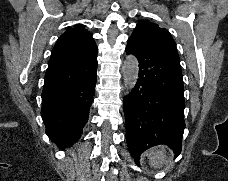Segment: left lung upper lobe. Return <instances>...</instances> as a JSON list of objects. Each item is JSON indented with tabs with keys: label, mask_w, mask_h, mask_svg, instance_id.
I'll list each match as a JSON object with an SVG mask.
<instances>
[{
	"label": "left lung upper lobe",
	"mask_w": 228,
	"mask_h": 181,
	"mask_svg": "<svg viewBox=\"0 0 228 181\" xmlns=\"http://www.w3.org/2000/svg\"><path fill=\"white\" fill-rule=\"evenodd\" d=\"M130 39L178 56L175 41L170 33L155 23L139 22Z\"/></svg>",
	"instance_id": "left-lung-upper-lobe-1"
}]
</instances>
